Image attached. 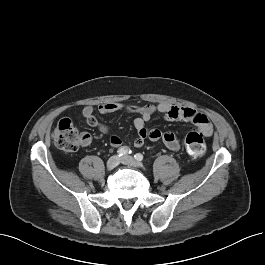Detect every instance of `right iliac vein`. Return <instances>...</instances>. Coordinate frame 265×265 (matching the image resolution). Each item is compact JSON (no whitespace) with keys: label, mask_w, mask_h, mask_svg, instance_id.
<instances>
[{"label":"right iliac vein","mask_w":265,"mask_h":265,"mask_svg":"<svg viewBox=\"0 0 265 265\" xmlns=\"http://www.w3.org/2000/svg\"><path fill=\"white\" fill-rule=\"evenodd\" d=\"M120 163V158L117 155H114L110 157L107 161V169L113 170L115 167H117Z\"/></svg>","instance_id":"1"}]
</instances>
